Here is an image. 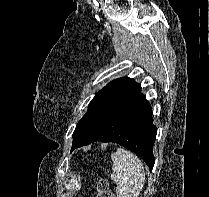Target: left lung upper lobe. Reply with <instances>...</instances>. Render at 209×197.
Wrapping results in <instances>:
<instances>
[{
	"label": "left lung upper lobe",
	"mask_w": 209,
	"mask_h": 197,
	"mask_svg": "<svg viewBox=\"0 0 209 197\" xmlns=\"http://www.w3.org/2000/svg\"><path fill=\"white\" fill-rule=\"evenodd\" d=\"M136 84L137 83L131 78H119L111 81L103 89L97 92L95 97L89 103L86 114L78 122L73 132L72 145H74L82 137V135L107 107H109L117 98Z\"/></svg>",
	"instance_id": "1"
}]
</instances>
